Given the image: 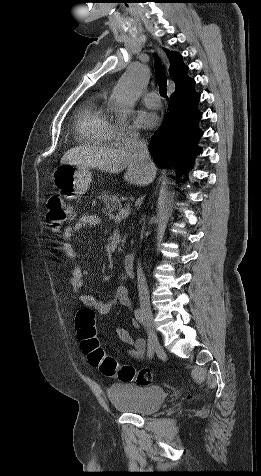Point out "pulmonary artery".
Returning <instances> with one entry per match:
<instances>
[{"instance_id": "1", "label": "pulmonary artery", "mask_w": 261, "mask_h": 476, "mask_svg": "<svg viewBox=\"0 0 261 476\" xmlns=\"http://www.w3.org/2000/svg\"><path fill=\"white\" fill-rule=\"evenodd\" d=\"M142 100L150 108H158L160 105L159 96L155 91L146 92L142 95Z\"/></svg>"}]
</instances>
